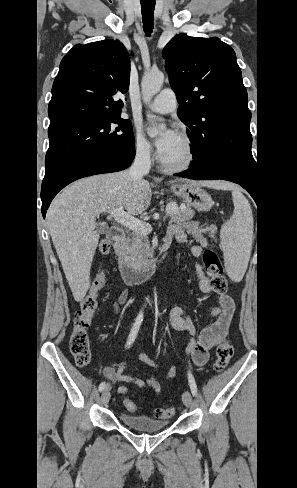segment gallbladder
Returning a JSON list of instances; mask_svg holds the SVG:
<instances>
[{
	"label": "gallbladder",
	"mask_w": 297,
	"mask_h": 488,
	"mask_svg": "<svg viewBox=\"0 0 297 488\" xmlns=\"http://www.w3.org/2000/svg\"><path fill=\"white\" fill-rule=\"evenodd\" d=\"M108 229V226L105 224H97V230L99 231L100 234H105Z\"/></svg>",
	"instance_id": "bac80fb5"
}]
</instances>
